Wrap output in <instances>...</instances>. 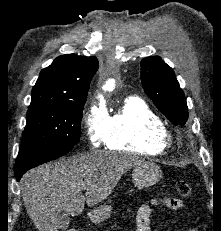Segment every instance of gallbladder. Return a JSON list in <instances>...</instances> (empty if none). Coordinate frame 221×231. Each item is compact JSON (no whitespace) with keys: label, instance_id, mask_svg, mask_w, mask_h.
I'll list each match as a JSON object with an SVG mask.
<instances>
[{"label":"gallbladder","instance_id":"obj_1","mask_svg":"<svg viewBox=\"0 0 221 231\" xmlns=\"http://www.w3.org/2000/svg\"><path fill=\"white\" fill-rule=\"evenodd\" d=\"M58 222H59V229L61 231H66V229L69 227L70 218L67 213L59 214L58 216Z\"/></svg>","mask_w":221,"mask_h":231}]
</instances>
